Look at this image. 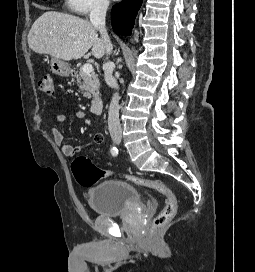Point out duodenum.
I'll return each instance as SVG.
<instances>
[{"instance_id":"1","label":"duodenum","mask_w":255,"mask_h":272,"mask_svg":"<svg viewBox=\"0 0 255 272\" xmlns=\"http://www.w3.org/2000/svg\"><path fill=\"white\" fill-rule=\"evenodd\" d=\"M103 108V100L99 97H95L91 101V112L94 114H99Z\"/></svg>"}]
</instances>
